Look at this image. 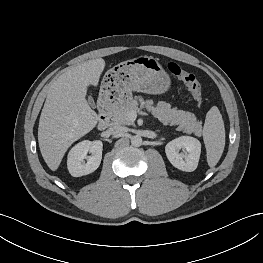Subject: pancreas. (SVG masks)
I'll use <instances>...</instances> for the list:
<instances>
[{"label": "pancreas", "mask_w": 263, "mask_h": 263, "mask_svg": "<svg viewBox=\"0 0 263 263\" xmlns=\"http://www.w3.org/2000/svg\"><path fill=\"white\" fill-rule=\"evenodd\" d=\"M139 103L141 108H146L164 125H178L179 131H185L188 134L193 133L198 137L202 135V121H198L193 113L171 108L170 104L163 101L154 106L152 100H144L140 96L114 111L113 124L133 125L134 121L130 119L129 114L132 111L139 112Z\"/></svg>", "instance_id": "1"}]
</instances>
